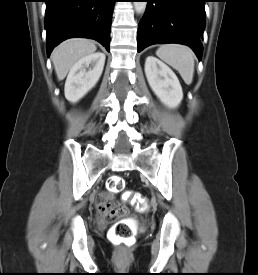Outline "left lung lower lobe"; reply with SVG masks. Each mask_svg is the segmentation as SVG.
Listing matches in <instances>:
<instances>
[{
    "label": "left lung lower lobe",
    "mask_w": 258,
    "mask_h": 275,
    "mask_svg": "<svg viewBox=\"0 0 258 275\" xmlns=\"http://www.w3.org/2000/svg\"><path fill=\"white\" fill-rule=\"evenodd\" d=\"M145 14L138 26V52L153 44L179 43L202 56L205 0H145Z\"/></svg>",
    "instance_id": "left-lung-lower-lobe-1"
}]
</instances>
